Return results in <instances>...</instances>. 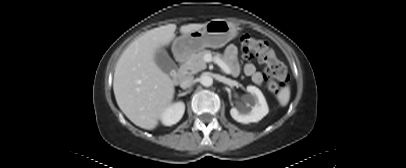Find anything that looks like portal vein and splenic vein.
I'll return each mask as SVG.
<instances>
[{
	"label": "portal vein and splenic vein",
	"instance_id": "18ae733b",
	"mask_svg": "<svg viewBox=\"0 0 406 168\" xmlns=\"http://www.w3.org/2000/svg\"><path fill=\"white\" fill-rule=\"evenodd\" d=\"M213 60L226 74L231 73L230 68L219 57H214Z\"/></svg>",
	"mask_w": 406,
	"mask_h": 168
}]
</instances>
